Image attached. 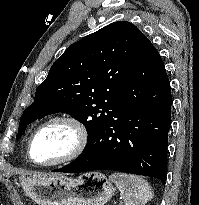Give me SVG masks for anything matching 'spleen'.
Instances as JSON below:
<instances>
[{
    "mask_svg": "<svg viewBox=\"0 0 199 205\" xmlns=\"http://www.w3.org/2000/svg\"><path fill=\"white\" fill-rule=\"evenodd\" d=\"M109 179L120 190L125 205H145L153 198L151 186L139 176L117 172L111 174Z\"/></svg>",
    "mask_w": 199,
    "mask_h": 205,
    "instance_id": "obj_1",
    "label": "spleen"
}]
</instances>
